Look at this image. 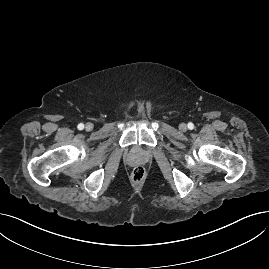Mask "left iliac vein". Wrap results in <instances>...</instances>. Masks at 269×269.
I'll use <instances>...</instances> for the list:
<instances>
[{"instance_id": "4c4485c4", "label": "left iliac vein", "mask_w": 269, "mask_h": 269, "mask_svg": "<svg viewBox=\"0 0 269 269\" xmlns=\"http://www.w3.org/2000/svg\"><path fill=\"white\" fill-rule=\"evenodd\" d=\"M179 129L180 131L185 132L187 130V125L185 123H181L179 125Z\"/></svg>"}]
</instances>
